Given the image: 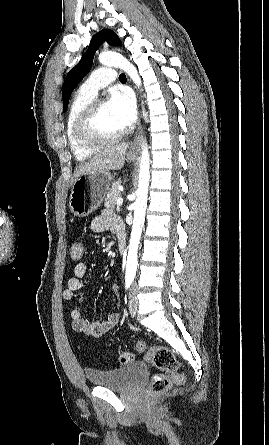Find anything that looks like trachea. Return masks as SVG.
<instances>
[{
    "label": "trachea",
    "mask_w": 269,
    "mask_h": 445,
    "mask_svg": "<svg viewBox=\"0 0 269 445\" xmlns=\"http://www.w3.org/2000/svg\"><path fill=\"white\" fill-rule=\"evenodd\" d=\"M119 80L120 81H126L127 79H126V75L125 74H120V76H119Z\"/></svg>",
    "instance_id": "1"
}]
</instances>
